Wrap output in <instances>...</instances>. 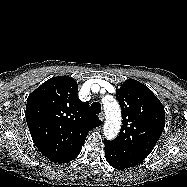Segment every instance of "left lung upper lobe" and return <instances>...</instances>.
Returning a JSON list of instances; mask_svg holds the SVG:
<instances>
[{
    "label": "left lung upper lobe",
    "mask_w": 187,
    "mask_h": 187,
    "mask_svg": "<svg viewBox=\"0 0 187 187\" xmlns=\"http://www.w3.org/2000/svg\"><path fill=\"white\" fill-rule=\"evenodd\" d=\"M116 94L122 110V126L114 140L104 139V143L140 163L163 132L164 107L147 86L134 79L126 80Z\"/></svg>",
    "instance_id": "5c2ea615"
}]
</instances>
